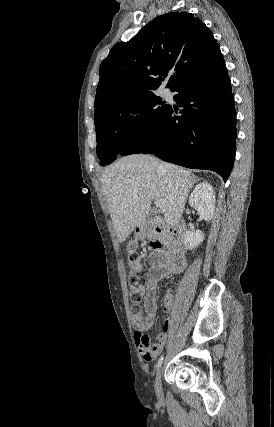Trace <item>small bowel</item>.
I'll return each mask as SVG.
<instances>
[{
  "label": "small bowel",
  "instance_id": "small-bowel-1",
  "mask_svg": "<svg viewBox=\"0 0 274 427\" xmlns=\"http://www.w3.org/2000/svg\"><path fill=\"white\" fill-rule=\"evenodd\" d=\"M160 248H155L156 250L151 253L149 258L150 268L147 273V287L143 298V311L145 314L143 328H148L152 325L157 317L156 287L159 280L173 274L183 273L188 265L183 249H178L174 242L163 249ZM172 306L173 297L170 293H166L163 298L164 310L170 311ZM172 326V320L170 318L165 319L162 325L163 333L156 337L153 344L150 343L148 336L141 330L135 331V342L144 360L152 361L158 357L167 341L168 333Z\"/></svg>",
  "mask_w": 274,
  "mask_h": 427
}]
</instances>
